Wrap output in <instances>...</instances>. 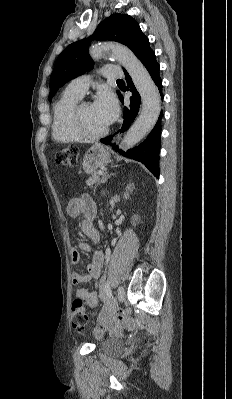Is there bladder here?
Here are the masks:
<instances>
[{
    "instance_id": "obj_1",
    "label": "bladder",
    "mask_w": 232,
    "mask_h": 399,
    "mask_svg": "<svg viewBox=\"0 0 232 399\" xmlns=\"http://www.w3.org/2000/svg\"><path fill=\"white\" fill-rule=\"evenodd\" d=\"M101 351L105 354H116L120 352V344L116 340H108L101 345Z\"/></svg>"
}]
</instances>
